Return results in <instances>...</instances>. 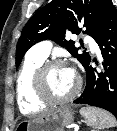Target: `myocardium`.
Instances as JSON below:
<instances>
[{
  "mask_svg": "<svg viewBox=\"0 0 117 131\" xmlns=\"http://www.w3.org/2000/svg\"><path fill=\"white\" fill-rule=\"evenodd\" d=\"M60 66H65V63L60 60L47 61L43 63L35 73L33 82L35 95L40 101L46 104L50 105L65 104L75 99L77 95L80 93L82 81L80 77H77L76 86L69 95L57 98L50 94L47 88L46 75L49 70Z\"/></svg>",
  "mask_w": 117,
  "mask_h": 131,
  "instance_id": "myocardium-1",
  "label": "myocardium"
}]
</instances>
